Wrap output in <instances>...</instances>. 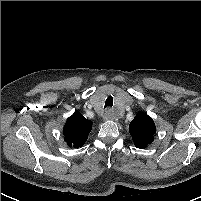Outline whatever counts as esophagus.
I'll list each match as a JSON object with an SVG mask.
<instances>
[{
    "label": "esophagus",
    "instance_id": "34e87169",
    "mask_svg": "<svg viewBox=\"0 0 201 201\" xmlns=\"http://www.w3.org/2000/svg\"><path fill=\"white\" fill-rule=\"evenodd\" d=\"M111 117H112V115H111L110 110H106L105 113H104V115H103V118H104L105 120H108V119H110Z\"/></svg>",
    "mask_w": 201,
    "mask_h": 201
}]
</instances>
